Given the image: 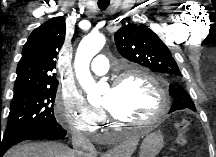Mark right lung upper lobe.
<instances>
[{
    "instance_id": "1",
    "label": "right lung upper lobe",
    "mask_w": 216,
    "mask_h": 157,
    "mask_svg": "<svg viewBox=\"0 0 216 157\" xmlns=\"http://www.w3.org/2000/svg\"><path fill=\"white\" fill-rule=\"evenodd\" d=\"M63 17H54L36 28L28 37L17 66L14 95L24 91L57 87L56 68L58 50L65 39Z\"/></svg>"
}]
</instances>
